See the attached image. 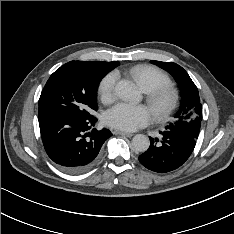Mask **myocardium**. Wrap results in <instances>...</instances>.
I'll list each match as a JSON object with an SVG mask.
<instances>
[{"instance_id": "f54148a6", "label": "myocardium", "mask_w": 234, "mask_h": 234, "mask_svg": "<svg viewBox=\"0 0 234 234\" xmlns=\"http://www.w3.org/2000/svg\"><path fill=\"white\" fill-rule=\"evenodd\" d=\"M146 102L157 121H166L178 107L179 94L173 86L162 85L147 92Z\"/></svg>"}]
</instances>
